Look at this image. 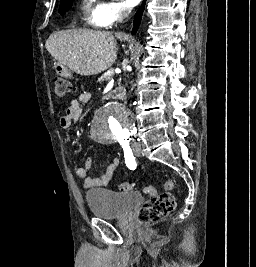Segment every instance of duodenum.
Returning <instances> with one entry per match:
<instances>
[{"label":"duodenum","mask_w":256,"mask_h":267,"mask_svg":"<svg viewBox=\"0 0 256 267\" xmlns=\"http://www.w3.org/2000/svg\"><path fill=\"white\" fill-rule=\"evenodd\" d=\"M56 72L60 75V79H72L71 70L68 66H56ZM111 101H118L119 97L117 95H113L110 97Z\"/></svg>","instance_id":"1"}]
</instances>
